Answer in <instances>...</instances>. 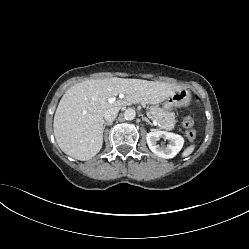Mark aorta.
Returning <instances> with one entry per match:
<instances>
[{
    "label": "aorta",
    "instance_id": "1",
    "mask_svg": "<svg viewBox=\"0 0 249 249\" xmlns=\"http://www.w3.org/2000/svg\"><path fill=\"white\" fill-rule=\"evenodd\" d=\"M135 117H136V111L134 109L128 108V109L125 110L124 118L126 120L131 121V120L135 119Z\"/></svg>",
    "mask_w": 249,
    "mask_h": 249
}]
</instances>
